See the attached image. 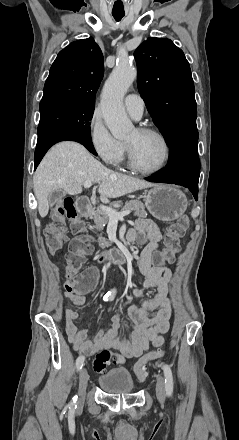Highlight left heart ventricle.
I'll use <instances>...</instances> for the list:
<instances>
[{
    "instance_id": "obj_1",
    "label": "left heart ventricle",
    "mask_w": 239,
    "mask_h": 440,
    "mask_svg": "<svg viewBox=\"0 0 239 440\" xmlns=\"http://www.w3.org/2000/svg\"><path fill=\"white\" fill-rule=\"evenodd\" d=\"M140 167L152 170L159 167L165 156L162 141L153 134H144L135 129L126 138Z\"/></svg>"
}]
</instances>
